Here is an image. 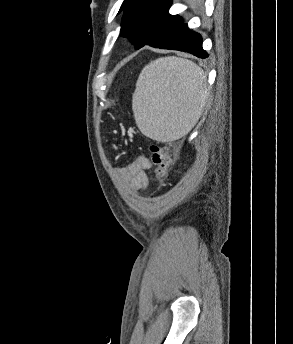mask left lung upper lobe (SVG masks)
Returning a JSON list of instances; mask_svg holds the SVG:
<instances>
[{
    "instance_id": "obj_1",
    "label": "left lung upper lobe",
    "mask_w": 293,
    "mask_h": 344,
    "mask_svg": "<svg viewBox=\"0 0 293 344\" xmlns=\"http://www.w3.org/2000/svg\"><path fill=\"white\" fill-rule=\"evenodd\" d=\"M171 0H124L120 34L140 49L168 41L183 24L182 17L170 15Z\"/></svg>"
}]
</instances>
